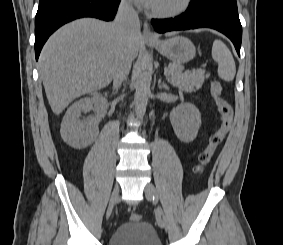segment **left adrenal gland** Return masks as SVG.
<instances>
[{
	"label": "left adrenal gland",
	"instance_id": "left-adrenal-gland-1",
	"mask_svg": "<svg viewBox=\"0 0 283 245\" xmlns=\"http://www.w3.org/2000/svg\"><path fill=\"white\" fill-rule=\"evenodd\" d=\"M158 87L159 89H169L168 85L165 82H161V79L158 80Z\"/></svg>",
	"mask_w": 283,
	"mask_h": 245
}]
</instances>
